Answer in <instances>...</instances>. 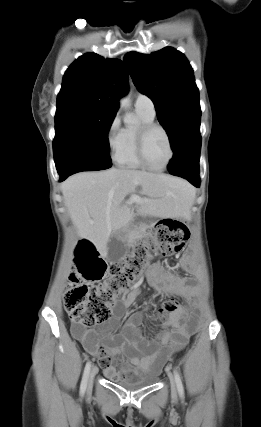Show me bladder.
<instances>
[{"label": "bladder", "mask_w": 261, "mask_h": 427, "mask_svg": "<svg viewBox=\"0 0 261 427\" xmlns=\"http://www.w3.org/2000/svg\"><path fill=\"white\" fill-rule=\"evenodd\" d=\"M157 379V375H149L137 379L120 380L116 384L127 390H136L155 384Z\"/></svg>", "instance_id": "31cf9c89"}]
</instances>
